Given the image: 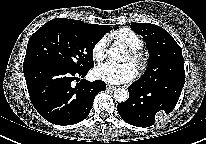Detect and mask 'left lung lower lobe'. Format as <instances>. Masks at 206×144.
Wrapping results in <instances>:
<instances>
[{
  "label": "left lung lower lobe",
  "mask_w": 206,
  "mask_h": 144,
  "mask_svg": "<svg viewBox=\"0 0 206 144\" xmlns=\"http://www.w3.org/2000/svg\"><path fill=\"white\" fill-rule=\"evenodd\" d=\"M184 83V74L151 86L134 82L128 87V100L118 103V113L125 122L133 126H152L157 115L168 114L175 108Z\"/></svg>",
  "instance_id": "obj_1"
}]
</instances>
